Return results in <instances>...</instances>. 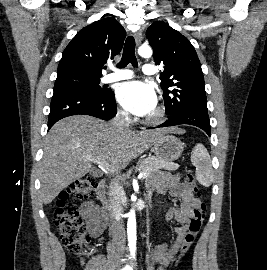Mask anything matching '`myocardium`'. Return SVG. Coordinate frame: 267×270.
Masks as SVG:
<instances>
[{"label": "myocardium", "mask_w": 267, "mask_h": 270, "mask_svg": "<svg viewBox=\"0 0 267 270\" xmlns=\"http://www.w3.org/2000/svg\"><path fill=\"white\" fill-rule=\"evenodd\" d=\"M165 110L162 107L157 108L152 115L146 119V123L150 125H157L164 121Z\"/></svg>", "instance_id": "myocardium-1"}]
</instances>
